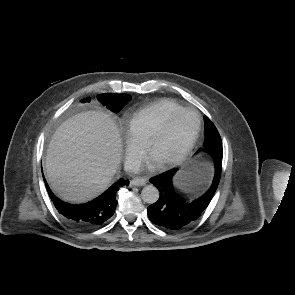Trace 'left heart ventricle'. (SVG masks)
I'll return each mask as SVG.
<instances>
[{"label": "left heart ventricle", "instance_id": "obj_1", "mask_svg": "<svg viewBox=\"0 0 295 295\" xmlns=\"http://www.w3.org/2000/svg\"><path fill=\"white\" fill-rule=\"evenodd\" d=\"M194 129L195 118L193 115L179 116L152 150V161L160 164L177 156L189 141Z\"/></svg>", "mask_w": 295, "mask_h": 295}]
</instances>
